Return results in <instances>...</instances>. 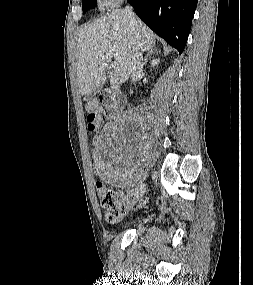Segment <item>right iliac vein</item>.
<instances>
[{
    "instance_id": "right-iliac-vein-1",
    "label": "right iliac vein",
    "mask_w": 253,
    "mask_h": 285,
    "mask_svg": "<svg viewBox=\"0 0 253 285\" xmlns=\"http://www.w3.org/2000/svg\"><path fill=\"white\" fill-rule=\"evenodd\" d=\"M146 191V186L145 184H140L136 187L135 192H134V203L138 202L143 195L145 194Z\"/></svg>"
}]
</instances>
